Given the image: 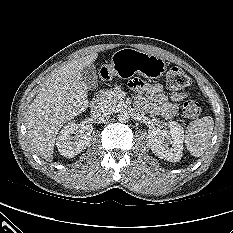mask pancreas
Segmentation results:
<instances>
[{
	"mask_svg": "<svg viewBox=\"0 0 233 233\" xmlns=\"http://www.w3.org/2000/svg\"><path fill=\"white\" fill-rule=\"evenodd\" d=\"M120 92V87H115L113 90H102L100 91L101 100L111 107L120 106L123 104V101L118 98Z\"/></svg>",
	"mask_w": 233,
	"mask_h": 233,
	"instance_id": "1",
	"label": "pancreas"
}]
</instances>
